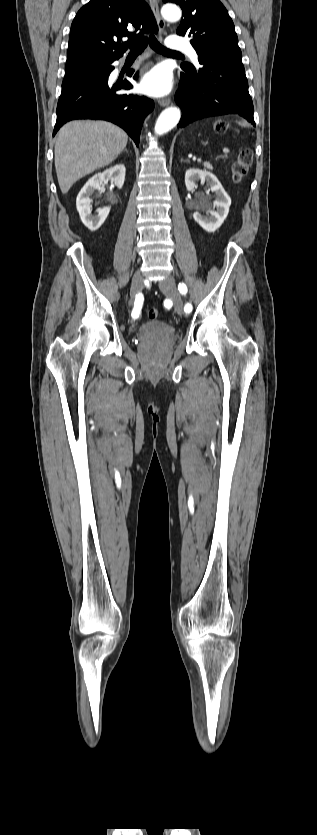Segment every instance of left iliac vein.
I'll return each mask as SVG.
<instances>
[{
	"label": "left iliac vein",
	"mask_w": 317,
	"mask_h": 835,
	"mask_svg": "<svg viewBox=\"0 0 317 835\" xmlns=\"http://www.w3.org/2000/svg\"><path fill=\"white\" fill-rule=\"evenodd\" d=\"M160 290L168 295L174 301V308L177 314H184L183 301L176 288L175 280L172 276H168L159 282Z\"/></svg>",
	"instance_id": "1"
}]
</instances>
